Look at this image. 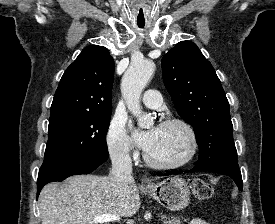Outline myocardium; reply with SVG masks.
Here are the masks:
<instances>
[{
	"label": "myocardium",
	"mask_w": 275,
	"mask_h": 224,
	"mask_svg": "<svg viewBox=\"0 0 275 224\" xmlns=\"http://www.w3.org/2000/svg\"><path fill=\"white\" fill-rule=\"evenodd\" d=\"M170 125L181 126L186 131L188 138H189V142H190L188 153L186 154V156L184 158H182L181 160H179L177 162L164 163V162H159V161L154 160L153 158H151L149 156L148 152H146L144 155V160L150 167H153L156 169H162V170L177 169V168L187 165L194 158V156L197 152L198 139H197L196 132H195L194 128L192 127V125L184 119L175 118V117L167 118L160 123V126H170Z\"/></svg>",
	"instance_id": "obj_1"
}]
</instances>
